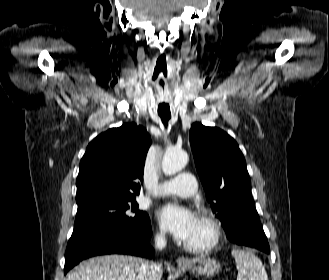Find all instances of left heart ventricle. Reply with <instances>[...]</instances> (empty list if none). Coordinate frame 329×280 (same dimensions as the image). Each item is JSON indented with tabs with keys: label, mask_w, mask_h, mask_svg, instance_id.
<instances>
[{
	"label": "left heart ventricle",
	"mask_w": 329,
	"mask_h": 280,
	"mask_svg": "<svg viewBox=\"0 0 329 280\" xmlns=\"http://www.w3.org/2000/svg\"><path fill=\"white\" fill-rule=\"evenodd\" d=\"M209 237L210 232L208 228L201 222L199 218H197L195 229L187 243L201 245L207 242L209 240Z\"/></svg>",
	"instance_id": "1"
}]
</instances>
